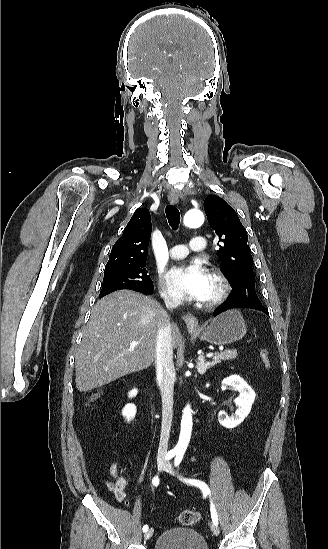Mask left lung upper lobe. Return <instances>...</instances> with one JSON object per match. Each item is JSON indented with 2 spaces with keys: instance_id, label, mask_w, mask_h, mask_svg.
<instances>
[{
  "instance_id": "left-lung-upper-lobe-1",
  "label": "left lung upper lobe",
  "mask_w": 328,
  "mask_h": 549,
  "mask_svg": "<svg viewBox=\"0 0 328 549\" xmlns=\"http://www.w3.org/2000/svg\"><path fill=\"white\" fill-rule=\"evenodd\" d=\"M208 222L219 236L221 271L232 287L230 299L257 301L253 259L246 229L235 210L222 198L209 195L204 201Z\"/></svg>"
}]
</instances>
